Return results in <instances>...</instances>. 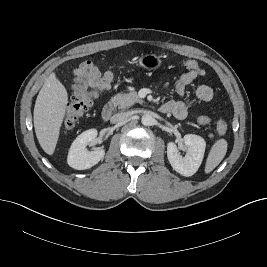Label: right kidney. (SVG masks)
Segmentation results:
<instances>
[{"label":"right kidney","mask_w":267,"mask_h":267,"mask_svg":"<svg viewBox=\"0 0 267 267\" xmlns=\"http://www.w3.org/2000/svg\"><path fill=\"white\" fill-rule=\"evenodd\" d=\"M96 129H89L81 133L72 143L67 162L68 165L77 170L89 169L96 165L105 155V150L96 149L88 151L86 146L97 137Z\"/></svg>","instance_id":"1"}]
</instances>
